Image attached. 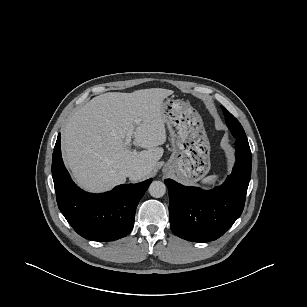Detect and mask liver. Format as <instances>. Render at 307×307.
<instances>
[{
  "mask_svg": "<svg viewBox=\"0 0 307 307\" xmlns=\"http://www.w3.org/2000/svg\"><path fill=\"white\" fill-rule=\"evenodd\" d=\"M172 94L162 88L108 92L77 110L61 140L63 158L76 183L90 192H104L125 183L128 168L140 171L132 181L148 178L164 152L162 104ZM129 132L143 151L133 152L125 144Z\"/></svg>",
  "mask_w": 307,
  "mask_h": 307,
  "instance_id": "6515ba94",
  "label": "liver"
}]
</instances>
